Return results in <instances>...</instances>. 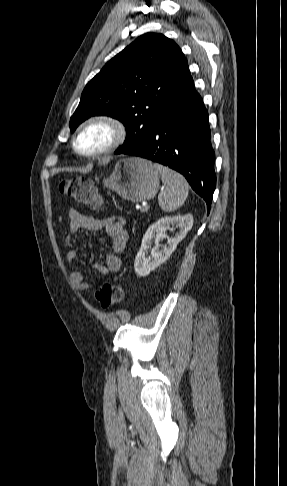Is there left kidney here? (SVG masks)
Instances as JSON below:
<instances>
[{"instance_id":"obj_1","label":"left kidney","mask_w":287,"mask_h":486,"mask_svg":"<svg viewBox=\"0 0 287 486\" xmlns=\"http://www.w3.org/2000/svg\"><path fill=\"white\" fill-rule=\"evenodd\" d=\"M193 222V216L186 214L163 217L150 225L143 236L141 248L135 258V272L140 277H145L164 263L191 230ZM171 225L179 228V232L174 237H168L166 233ZM163 239H167V245L159 249V242ZM153 242L155 246L152 247ZM148 251H150V256H148Z\"/></svg>"}]
</instances>
